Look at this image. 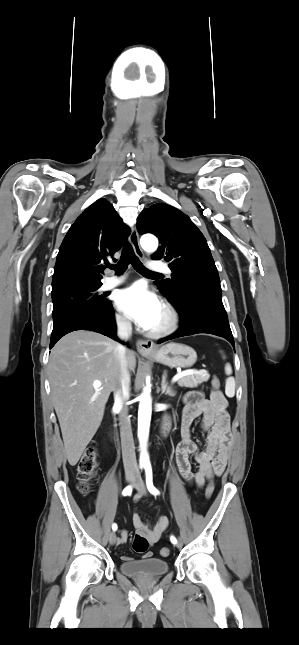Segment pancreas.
I'll return each mask as SVG.
<instances>
[{
    "mask_svg": "<svg viewBox=\"0 0 299 645\" xmlns=\"http://www.w3.org/2000/svg\"><path fill=\"white\" fill-rule=\"evenodd\" d=\"M210 375L207 371L201 370L198 373L187 375L178 380L180 387L195 388L203 382L208 381Z\"/></svg>",
    "mask_w": 299,
    "mask_h": 645,
    "instance_id": "cf45deb5",
    "label": "pancreas"
}]
</instances>
